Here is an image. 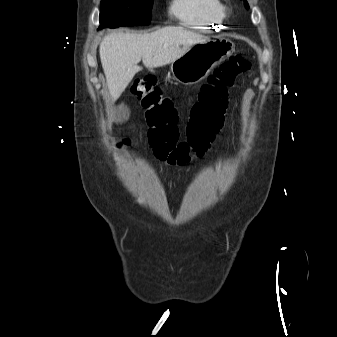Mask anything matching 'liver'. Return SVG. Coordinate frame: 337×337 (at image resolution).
<instances>
[{
  "label": "liver",
  "instance_id": "obj_1",
  "mask_svg": "<svg viewBox=\"0 0 337 337\" xmlns=\"http://www.w3.org/2000/svg\"><path fill=\"white\" fill-rule=\"evenodd\" d=\"M207 38L182 27H164L152 33H114L105 36L99 48L101 64L112 99L124 92L136 73L162 67L180 58L194 44Z\"/></svg>",
  "mask_w": 337,
  "mask_h": 337
}]
</instances>
